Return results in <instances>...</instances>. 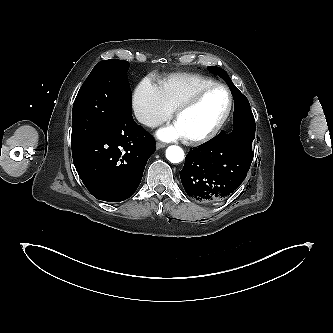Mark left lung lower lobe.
<instances>
[{
  "label": "left lung lower lobe",
  "instance_id": "left-lung-lower-lobe-1",
  "mask_svg": "<svg viewBox=\"0 0 333 333\" xmlns=\"http://www.w3.org/2000/svg\"><path fill=\"white\" fill-rule=\"evenodd\" d=\"M251 144V138L234 128L190 150L180 171L186 193L206 204L227 198L247 176L253 160Z\"/></svg>",
  "mask_w": 333,
  "mask_h": 333
}]
</instances>
